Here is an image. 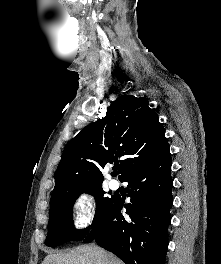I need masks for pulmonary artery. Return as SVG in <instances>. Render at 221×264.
I'll return each instance as SVG.
<instances>
[{
    "instance_id": "e3ab8cb5",
    "label": "pulmonary artery",
    "mask_w": 221,
    "mask_h": 264,
    "mask_svg": "<svg viewBox=\"0 0 221 264\" xmlns=\"http://www.w3.org/2000/svg\"><path fill=\"white\" fill-rule=\"evenodd\" d=\"M109 185L112 189H117V188H119L120 183L116 179H111L109 182Z\"/></svg>"
}]
</instances>
